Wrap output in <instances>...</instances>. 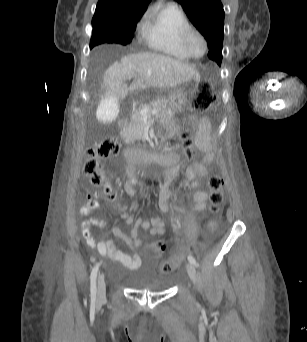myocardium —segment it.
<instances>
[{"instance_id":"obj_1","label":"myocardium","mask_w":307,"mask_h":342,"mask_svg":"<svg viewBox=\"0 0 307 342\" xmlns=\"http://www.w3.org/2000/svg\"><path fill=\"white\" fill-rule=\"evenodd\" d=\"M193 33H199V35L201 36V39L203 41V44H204V51H203L202 55L198 56V57L194 56L188 48V39ZM180 42H181V46H182V49L184 50V52L192 60H201L202 58L205 57V55L207 54L208 49H209L208 39L206 37L204 30L200 26H198L194 23H190L183 30V32L181 34Z\"/></svg>"}]
</instances>
